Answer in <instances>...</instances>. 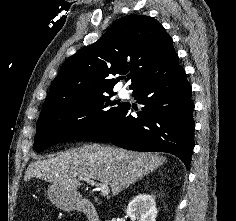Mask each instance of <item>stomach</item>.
<instances>
[{
  "label": "stomach",
  "mask_w": 236,
  "mask_h": 221,
  "mask_svg": "<svg viewBox=\"0 0 236 221\" xmlns=\"http://www.w3.org/2000/svg\"><path fill=\"white\" fill-rule=\"evenodd\" d=\"M47 193L50 201L58 208L65 211L77 209L82 200L80 193L68 191L57 184L49 186Z\"/></svg>",
  "instance_id": "0dacf381"
}]
</instances>
